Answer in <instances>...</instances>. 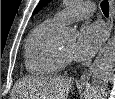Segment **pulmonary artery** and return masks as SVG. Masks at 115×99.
Segmentation results:
<instances>
[{
    "label": "pulmonary artery",
    "instance_id": "e3ab8cb5",
    "mask_svg": "<svg viewBox=\"0 0 115 99\" xmlns=\"http://www.w3.org/2000/svg\"><path fill=\"white\" fill-rule=\"evenodd\" d=\"M94 11L95 6L93 3L76 1L69 7L56 13L51 20L58 25H64L72 21L89 17L93 14Z\"/></svg>",
    "mask_w": 115,
    "mask_h": 99
}]
</instances>
